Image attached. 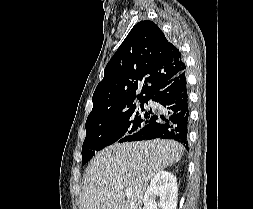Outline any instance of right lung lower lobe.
<instances>
[{"instance_id":"right-lung-lower-lobe-1","label":"right lung lower lobe","mask_w":253,"mask_h":209,"mask_svg":"<svg viewBox=\"0 0 253 209\" xmlns=\"http://www.w3.org/2000/svg\"><path fill=\"white\" fill-rule=\"evenodd\" d=\"M151 100L164 109L158 114L151 113L148 123L126 141L172 139L188 149L189 109L185 71L167 81Z\"/></svg>"}]
</instances>
